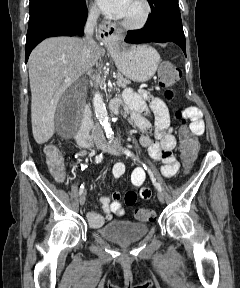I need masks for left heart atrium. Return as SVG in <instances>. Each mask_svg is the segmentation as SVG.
Listing matches in <instances>:
<instances>
[{
  "label": "left heart atrium",
  "instance_id": "39dd6f15",
  "mask_svg": "<svg viewBox=\"0 0 240 288\" xmlns=\"http://www.w3.org/2000/svg\"><path fill=\"white\" fill-rule=\"evenodd\" d=\"M132 0H96L100 8L107 14L123 18Z\"/></svg>",
  "mask_w": 240,
  "mask_h": 288
}]
</instances>
